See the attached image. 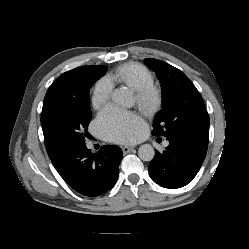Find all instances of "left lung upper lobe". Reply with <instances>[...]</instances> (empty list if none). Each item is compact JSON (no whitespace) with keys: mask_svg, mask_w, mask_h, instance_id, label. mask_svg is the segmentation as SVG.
<instances>
[{"mask_svg":"<svg viewBox=\"0 0 249 249\" xmlns=\"http://www.w3.org/2000/svg\"><path fill=\"white\" fill-rule=\"evenodd\" d=\"M144 62L155 71L162 88V110L155 116L152 134L208 144L209 116L191 80L163 61L147 58Z\"/></svg>","mask_w":249,"mask_h":249,"instance_id":"obj_1","label":"left lung upper lobe"}]
</instances>
